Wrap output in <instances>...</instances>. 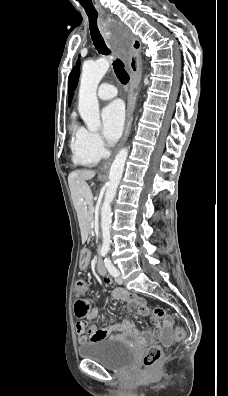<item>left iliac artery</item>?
Here are the masks:
<instances>
[{"instance_id": "left-iliac-artery-1", "label": "left iliac artery", "mask_w": 228, "mask_h": 396, "mask_svg": "<svg viewBox=\"0 0 228 396\" xmlns=\"http://www.w3.org/2000/svg\"><path fill=\"white\" fill-rule=\"evenodd\" d=\"M105 262V266L108 269L109 273L113 276V277H117L119 275V271L118 269L112 264L111 260L109 258H105L104 260Z\"/></svg>"}]
</instances>
